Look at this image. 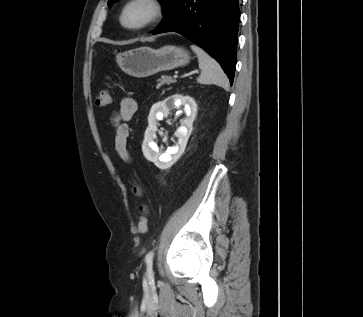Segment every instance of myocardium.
<instances>
[{"instance_id":"myocardium-1","label":"myocardium","mask_w":363,"mask_h":317,"mask_svg":"<svg viewBox=\"0 0 363 317\" xmlns=\"http://www.w3.org/2000/svg\"><path fill=\"white\" fill-rule=\"evenodd\" d=\"M135 5L145 7L147 14L137 24L129 25L125 22V17L128 10ZM164 14L165 9L161 0H127L121 8L119 22L120 25L128 31H140L156 24L163 18Z\"/></svg>"}]
</instances>
